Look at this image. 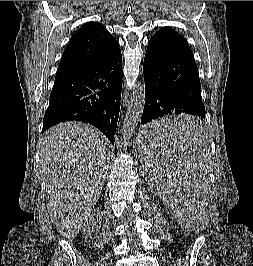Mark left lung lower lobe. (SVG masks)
I'll return each mask as SVG.
<instances>
[{"label": "left lung lower lobe", "instance_id": "obj_1", "mask_svg": "<svg viewBox=\"0 0 253 266\" xmlns=\"http://www.w3.org/2000/svg\"><path fill=\"white\" fill-rule=\"evenodd\" d=\"M145 105L143 135L152 141L197 136L205 117L198 68L186 39L171 27L159 29L148 42L143 64ZM172 114L195 115L185 121L158 122Z\"/></svg>", "mask_w": 253, "mask_h": 266}]
</instances>
